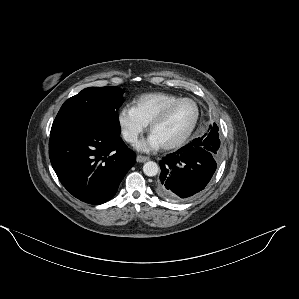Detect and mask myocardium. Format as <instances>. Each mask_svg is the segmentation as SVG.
I'll return each mask as SVG.
<instances>
[{
	"instance_id": "f54148a6",
	"label": "myocardium",
	"mask_w": 299,
	"mask_h": 299,
	"mask_svg": "<svg viewBox=\"0 0 299 299\" xmlns=\"http://www.w3.org/2000/svg\"><path fill=\"white\" fill-rule=\"evenodd\" d=\"M185 101H189V102L193 103L196 108V115H195L194 121H193L191 127L187 130V132L185 134H183L179 139H177L174 142H171L169 144L161 146V148L163 150L177 149V148L181 147L191 137V135L193 134V132L195 131V129L199 123L200 116H201V109H200L198 102L190 97L179 98V99L167 104L149 123V131H150V133H152L153 129L156 126H158L160 123H162L176 106H178L180 103L185 102Z\"/></svg>"
}]
</instances>
